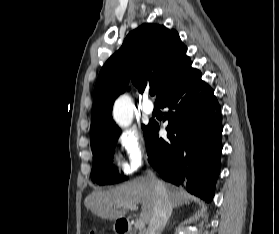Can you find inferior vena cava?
<instances>
[{
    "label": "inferior vena cava",
    "instance_id": "602c4592",
    "mask_svg": "<svg viewBox=\"0 0 279 234\" xmlns=\"http://www.w3.org/2000/svg\"><path fill=\"white\" fill-rule=\"evenodd\" d=\"M147 177L154 183L156 198L154 211L145 234H161L172 212V204L165 185L159 181L152 171Z\"/></svg>",
    "mask_w": 279,
    "mask_h": 234
}]
</instances>
